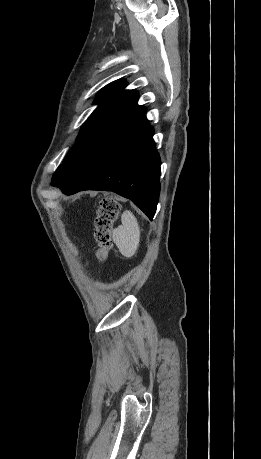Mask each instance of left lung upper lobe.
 Instances as JSON below:
<instances>
[{
	"label": "left lung upper lobe",
	"mask_w": 261,
	"mask_h": 459,
	"mask_svg": "<svg viewBox=\"0 0 261 459\" xmlns=\"http://www.w3.org/2000/svg\"><path fill=\"white\" fill-rule=\"evenodd\" d=\"M123 80L105 86L94 103H99L72 147L52 177V186L58 187L77 168L88 161L142 106L137 105L138 93L125 90Z\"/></svg>",
	"instance_id": "5c2ea615"
}]
</instances>
